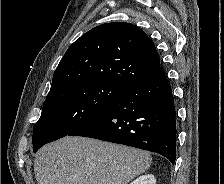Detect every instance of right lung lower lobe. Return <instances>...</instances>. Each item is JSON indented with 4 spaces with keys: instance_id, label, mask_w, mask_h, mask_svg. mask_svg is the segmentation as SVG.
Returning a JSON list of instances; mask_svg holds the SVG:
<instances>
[{
    "instance_id": "obj_1",
    "label": "right lung lower lobe",
    "mask_w": 224,
    "mask_h": 184,
    "mask_svg": "<svg viewBox=\"0 0 224 184\" xmlns=\"http://www.w3.org/2000/svg\"><path fill=\"white\" fill-rule=\"evenodd\" d=\"M176 111L166 76L128 86L103 112L69 136L120 143L176 158Z\"/></svg>"
}]
</instances>
